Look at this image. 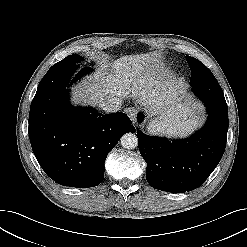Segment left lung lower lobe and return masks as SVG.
<instances>
[{
	"label": "left lung lower lobe",
	"instance_id": "obj_1",
	"mask_svg": "<svg viewBox=\"0 0 247 247\" xmlns=\"http://www.w3.org/2000/svg\"><path fill=\"white\" fill-rule=\"evenodd\" d=\"M190 85L208 113L201 130L183 140H168L137 131L139 151L147 163L146 178L155 189L182 193L198 188L224 153L228 108L223 91L206 66L191 76ZM142 120L143 113H139L138 121Z\"/></svg>",
	"mask_w": 247,
	"mask_h": 247
}]
</instances>
